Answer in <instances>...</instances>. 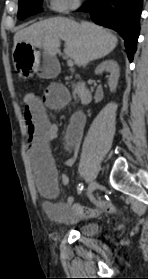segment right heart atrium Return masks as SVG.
<instances>
[{
    "label": "right heart atrium",
    "mask_w": 148,
    "mask_h": 279,
    "mask_svg": "<svg viewBox=\"0 0 148 279\" xmlns=\"http://www.w3.org/2000/svg\"><path fill=\"white\" fill-rule=\"evenodd\" d=\"M80 0H49L51 10L58 13H66L79 7Z\"/></svg>",
    "instance_id": "obj_1"
}]
</instances>
